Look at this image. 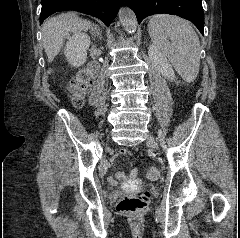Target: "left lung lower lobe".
Wrapping results in <instances>:
<instances>
[{
	"mask_svg": "<svg viewBox=\"0 0 240 238\" xmlns=\"http://www.w3.org/2000/svg\"><path fill=\"white\" fill-rule=\"evenodd\" d=\"M135 12L138 23L153 14H171L191 21L203 34L202 0H125Z\"/></svg>",
	"mask_w": 240,
	"mask_h": 238,
	"instance_id": "left-lung-lower-lobe-1",
	"label": "left lung lower lobe"
}]
</instances>
